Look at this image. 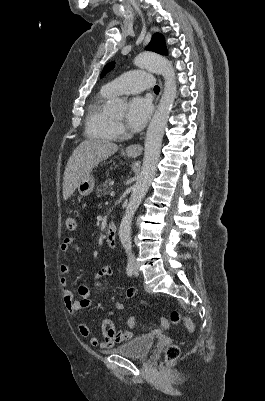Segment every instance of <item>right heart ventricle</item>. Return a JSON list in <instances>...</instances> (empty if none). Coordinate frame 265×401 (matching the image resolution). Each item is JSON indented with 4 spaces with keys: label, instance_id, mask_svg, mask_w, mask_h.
I'll use <instances>...</instances> for the list:
<instances>
[{
    "label": "right heart ventricle",
    "instance_id": "right-heart-ventricle-1",
    "mask_svg": "<svg viewBox=\"0 0 265 401\" xmlns=\"http://www.w3.org/2000/svg\"><path fill=\"white\" fill-rule=\"evenodd\" d=\"M113 96L104 86L90 98L86 111V132L90 137L109 141L119 136L116 121L107 110Z\"/></svg>",
    "mask_w": 265,
    "mask_h": 401
}]
</instances>
